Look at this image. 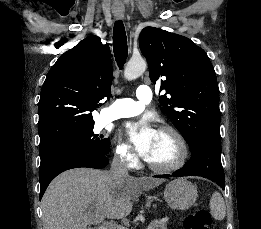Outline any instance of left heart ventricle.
<instances>
[{"label": "left heart ventricle", "instance_id": "1", "mask_svg": "<svg viewBox=\"0 0 261 229\" xmlns=\"http://www.w3.org/2000/svg\"><path fill=\"white\" fill-rule=\"evenodd\" d=\"M176 156L177 148L172 137L169 134L157 132L147 160L157 165H165L174 161Z\"/></svg>", "mask_w": 261, "mask_h": 229}]
</instances>
